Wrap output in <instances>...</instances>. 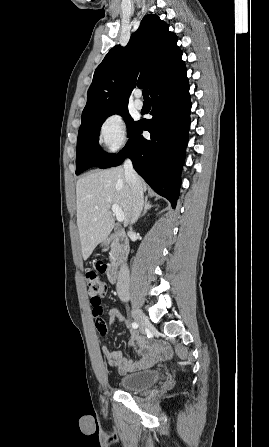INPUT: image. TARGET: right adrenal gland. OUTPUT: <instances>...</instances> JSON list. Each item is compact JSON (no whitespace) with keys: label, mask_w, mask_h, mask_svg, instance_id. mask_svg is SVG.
<instances>
[{"label":"right adrenal gland","mask_w":269,"mask_h":447,"mask_svg":"<svg viewBox=\"0 0 269 447\" xmlns=\"http://www.w3.org/2000/svg\"><path fill=\"white\" fill-rule=\"evenodd\" d=\"M150 208H154V206H151V204L148 200V196H146L145 204H144V212H142V214H141V216H139V218H142V216H145L147 210H150Z\"/></svg>","instance_id":"2a0ac1e0"}]
</instances>
